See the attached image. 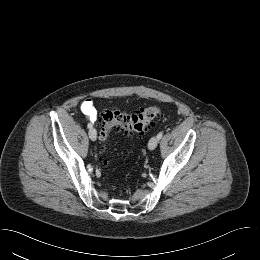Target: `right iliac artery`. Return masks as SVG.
Returning <instances> with one entry per match:
<instances>
[{
	"label": "right iliac artery",
	"mask_w": 260,
	"mask_h": 260,
	"mask_svg": "<svg viewBox=\"0 0 260 260\" xmlns=\"http://www.w3.org/2000/svg\"><path fill=\"white\" fill-rule=\"evenodd\" d=\"M88 128H92V124L91 123H88Z\"/></svg>",
	"instance_id": "82829eb1"
}]
</instances>
